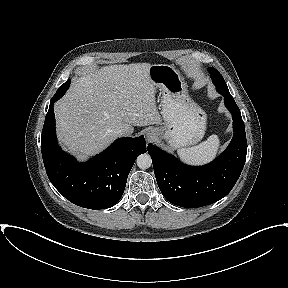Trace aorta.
I'll list each match as a JSON object with an SVG mask.
<instances>
[{
  "instance_id": "obj_1",
  "label": "aorta",
  "mask_w": 288,
  "mask_h": 288,
  "mask_svg": "<svg viewBox=\"0 0 288 288\" xmlns=\"http://www.w3.org/2000/svg\"><path fill=\"white\" fill-rule=\"evenodd\" d=\"M137 166L140 168V169H147L151 166L152 164V159L150 157L149 154L147 153H144V154H141L137 157Z\"/></svg>"
}]
</instances>
